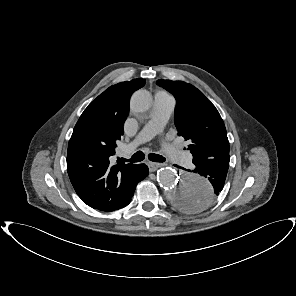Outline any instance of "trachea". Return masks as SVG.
Masks as SVG:
<instances>
[{
  "label": "trachea",
  "instance_id": "1",
  "mask_svg": "<svg viewBox=\"0 0 296 296\" xmlns=\"http://www.w3.org/2000/svg\"><path fill=\"white\" fill-rule=\"evenodd\" d=\"M145 154L142 151H137L130 159L119 158V162H140L144 160ZM149 160L153 162H165V158L161 155L151 153L148 155Z\"/></svg>",
  "mask_w": 296,
  "mask_h": 296
}]
</instances>
